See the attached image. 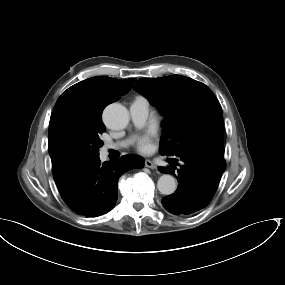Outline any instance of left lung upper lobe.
Wrapping results in <instances>:
<instances>
[{
  "mask_svg": "<svg viewBox=\"0 0 285 285\" xmlns=\"http://www.w3.org/2000/svg\"><path fill=\"white\" fill-rule=\"evenodd\" d=\"M134 89L164 115L161 155L209 153L224 157L219 101L203 83L181 75L141 78Z\"/></svg>",
  "mask_w": 285,
  "mask_h": 285,
  "instance_id": "5c2ea615",
  "label": "left lung upper lobe"
}]
</instances>
